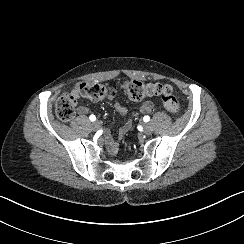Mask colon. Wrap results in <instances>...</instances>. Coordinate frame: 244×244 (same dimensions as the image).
I'll return each instance as SVG.
<instances>
[{"mask_svg": "<svg viewBox=\"0 0 244 244\" xmlns=\"http://www.w3.org/2000/svg\"><path fill=\"white\" fill-rule=\"evenodd\" d=\"M124 93L134 101L149 97L162 98L165 110L171 115H178L181 109L178 99L171 86L160 83H144L138 80H129L123 84ZM75 93L63 94L56 103V115L62 121L73 119L76 113L78 96L91 101H98L110 94L108 86L100 82H83Z\"/></svg>", "mask_w": 244, "mask_h": 244, "instance_id": "5ec220e1", "label": "colon"}]
</instances>
